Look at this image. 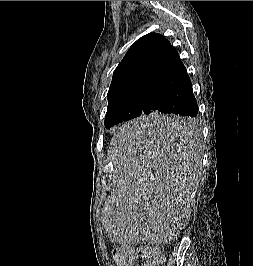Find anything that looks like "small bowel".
I'll return each instance as SVG.
<instances>
[{"label":"small bowel","instance_id":"small-bowel-1","mask_svg":"<svg viewBox=\"0 0 253 266\" xmlns=\"http://www.w3.org/2000/svg\"><path fill=\"white\" fill-rule=\"evenodd\" d=\"M133 265V261L131 263L128 264V266H132Z\"/></svg>","mask_w":253,"mask_h":266}]
</instances>
